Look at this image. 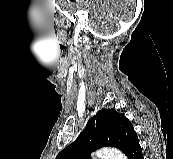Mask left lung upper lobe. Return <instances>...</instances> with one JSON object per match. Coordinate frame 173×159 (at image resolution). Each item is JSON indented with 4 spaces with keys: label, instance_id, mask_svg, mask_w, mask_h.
I'll list each match as a JSON object with an SVG mask.
<instances>
[{
    "label": "left lung upper lobe",
    "instance_id": "obj_1",
    "mask_svg": "<svg viewBox=\"0 0 173 159\" xmlns=\"http://www.w3.org/2000/svg\"><path fill=\"white\" fill-rule=\"evenodd\" d=\"M139 143L131 122L115 109L99 110L77 139L55 159H91V152L103 146L120 149L125 155Z\"/></svg>",
    "mask_w": 173,
    "mask_h": 159
}]
</instances>
